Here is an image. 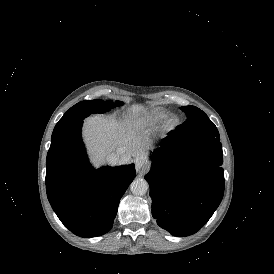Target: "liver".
Returning <instances> with one entry per match:
<instances>
[{
  "label": "liver",
  "mask_w": 274,
  "mask_h": 274,
  "mask_svg": "<svg viewBox=\"0 0 274 274\" xmlns=\"http://www.w3.org/2000/svg\"><path fill=\"white\" fill-rule=\"evenodd\" d=\"M130 129L129 125L119 128L112 118L104 116L88 119L85 126V138L95 162L103 161L106 155L112 152L120 154V162H128L133 151L140 150L138 157H141L144 147L138 149L136 143L131 141Z\"/></svg>",
  "instance_id": "liver-1"
}]
</instances>
